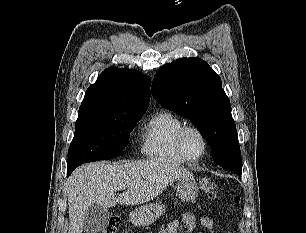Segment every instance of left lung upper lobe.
I'll return each mask as SVG.
<instances>
[{
    "mask_svg": "<svg viewBox=\"0 0 306 233\" xmlns=\"http://www.w3.org/2000/svg\"><path fill=\"white\" fill-rule=\"evenodd\" d=\"M153 97L190 119L207 140L213 160L242 173V159L229 98L220 77L200 58H181L162 66L152 83Z\"/></svg>",
    "mask_w": 306,
    "mask_h": 233,
    "instance_id": "obj_1",
    "label": "left lung upper lobe"
}]
</instances>
